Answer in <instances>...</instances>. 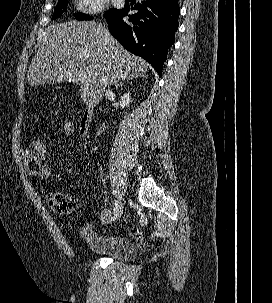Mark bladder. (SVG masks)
Masks as SVG:
<instances>
[{
  "mask_svg": "<svg viewBox=\"0 0 272 303\" xmlns=\"http://www.w3.org/2000/svg\"><path fill=\"white\" fill-rule=\"evenodd\" d=\"M79 231L91 255L126 261L136 253L135 243L126 236L98 235L90 223L81 225Z\"/></svg>",
  "mask_w": 272,
  "mask_h": 303,
  "instance_id": "31cf9c89",
  "label": "bladder"
}]
</instances>
